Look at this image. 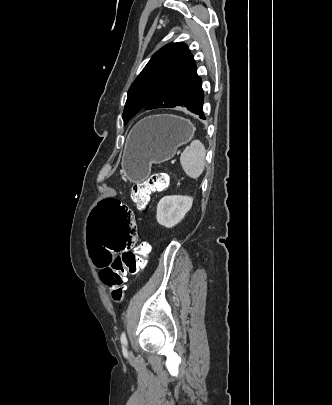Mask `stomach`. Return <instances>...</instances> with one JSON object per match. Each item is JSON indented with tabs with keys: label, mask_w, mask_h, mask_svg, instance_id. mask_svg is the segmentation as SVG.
Segmentation results:
<instances>
[{
	"label": "stomach",
	"mask_w": 332,
	"mask_h": 405,
	"mask_svg": "<svg viewBox=\"0 0 332 405\" xmlns=\"http://www.w3.org/2000/svg\"><path fill=\"white\" fill-rule=\"evenodd\" d=\"M194 125L173 115L149 116L131 130L122 157V170L127 179L138 183L146 180L153 163L172 159L178 147L189 143Z\"/></svg>",
	"instance_id": "0dacf381"
}]
</instances>
